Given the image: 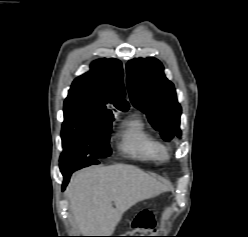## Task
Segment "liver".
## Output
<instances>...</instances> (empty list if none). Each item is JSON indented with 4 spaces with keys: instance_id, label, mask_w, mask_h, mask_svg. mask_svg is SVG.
<instances>
[{
    "instance_id": "liver-1",
    "label": "liver",
    "mask_w": 248,
    "mask_h": 237,
    "mask_svg": "<svg viewBox=\"0 0 248 237\" xmlns=\"http://www.w3.org/2000/svg\"><path fill=\"white\" fill-rule=\"evenodd\" d=\"M165 189L161 182L141 169L115 164L77 172L68 184L66 195L81 234L111 236L126 210Z\"/></svg>"
}]
</instances>
